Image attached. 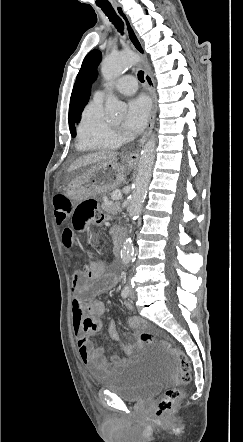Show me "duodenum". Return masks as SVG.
Here are the masks:
<instances>
[{"mask_svg":"<svg viewBox=\"0 0 243 442\" xmlns=\"http://www.w3.org/2000/svg\"><path fill=\"white\" fill-rule=\"evenodd\" d=\"M121 240H122V232L121 231H117L115 233V248H114L115 253L117 255H119L120 252H121V245H120L121 244Z\"/></svg>","mask_w":243,"mask_h":442,"instance_id":"1","label":"duodenum"}]
</instances>
